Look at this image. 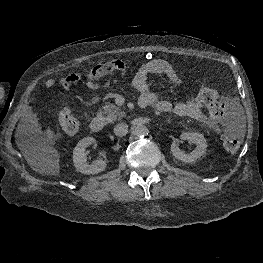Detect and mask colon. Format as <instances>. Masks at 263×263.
Wrapping results in <instances>:
<instances>
[{"instance_id": "5ec220e1", "label": "colon", "mask_w": 263, "mask_h": 263, "mask_svg": "<svg viewBox=\"0 0 263 263\" xmlns=\"http://www.w3.org/2000/svg\"><path fill=\"white\" fill-rule=\"evenodd\" d=\"M118 69L126 68L127 65L123 62H115ZM200 103L206 107L211 116L220 118L224 115L226 104L219 99L215 90L203 87L198 95ZM58 120L62 130L69 135L77 133L79 130V121L67 108H62L58 112ZM225 149L230 153H236L241 145V133L237 129H229L223 138Z\"/></svg>"}]
</instances>
